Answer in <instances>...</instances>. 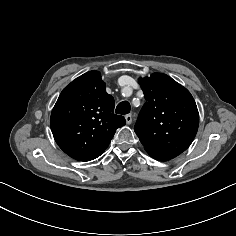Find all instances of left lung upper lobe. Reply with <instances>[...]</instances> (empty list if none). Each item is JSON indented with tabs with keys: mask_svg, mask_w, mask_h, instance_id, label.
<instances>
[{
	"mask_svg": "<svg viewBox=\"0 0 236 236\" xmlns=\"http://www.w3.org/2000/svg\"><path fill=\"white\" fill-rule=\"evenodd\" d=\"M146 103L134 131L148 153L178 156L192 143L199 113L190 92L162 73L139 79Z\"/></svg>",
	"mask_w": 236,
	"mask_h": 236,
	"instance_id": "1",
	"label": "left lung upper lobe"
}]
</instances>
